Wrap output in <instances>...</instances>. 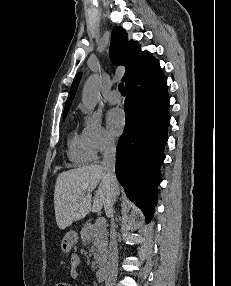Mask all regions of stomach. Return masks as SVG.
Returning a JSON list of instances; mask_svg holds the SVG:
<instances>
[{"instance_id":"1","label":"stomach","mask_w":231,"mask_h":286,"mask_svg":"<svg viewBox=\"0 0 231 286\" xmlns=\"http://www.w3.org/2000/svg\"><path fill=\"white\" fill-rule=\"evenodd\" d=\"M78 234L75 231H69L65 234L61 242V250L68 253L71 248L77 243Z\"/></svg>"}]
</instances>
